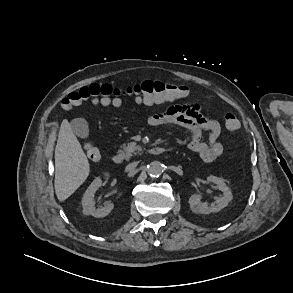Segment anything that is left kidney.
Listing matches in <instances>:
<instances>
[{
	"label": "left kidney",
	"instance_id": "left-kidney-1",
	"mask_svg": "<svg viewBox=\"0 0 293 293\" xmlns=\"http://www.w3.org/2000/svg\"><path fill=\"white\" fill-rule=\"evenodd\" d=\"M208 183H214L222 191L223 195L215 197V204L208 206L207 203L201 202V195L193 194L189 198V205L193 212L201 214H209L211 212H219L223 208L227 207L232 200V193L225 183L223 178H219L213 175L207 177Z\"/></svg>",
	"mask_w": 293,
	"mask_h": 293
}]
</instances>
